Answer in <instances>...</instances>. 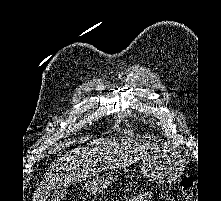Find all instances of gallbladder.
Masks as SVG:
<instances>
[{
	"label": "gallbladder",
	"instance_id": "1",
	"mask_svg": "<svg viewBox=\"0 0 221 201\" xmlns=\"http://www.w3.org/2000/svg\"><path fill=\"white\" fill-rule=\"evenodd\" d=\"M66 194H67L66 187H58L50 193L49 201H61Z\"/></svg>",
	"mask_w": 221,
	"mask_h": 201
}]
</instances>
